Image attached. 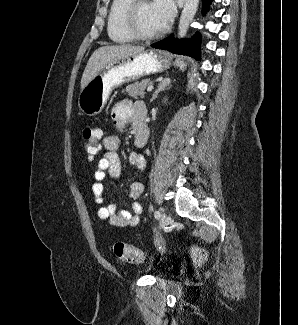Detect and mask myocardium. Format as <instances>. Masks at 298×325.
Segmentation results:
<instances>
[{
    "mask_svg": "<svg viewBox=\"0 0 298 325\" xmlns=\"http://www.w3.org/2000/svg\"><path fill=\"white\" fill-rule=\"evenodd\" d=\"M146 1L149 0H129L124 7L121 16V26L123 31L133 40L152 41L159 38L164 33V30H162L152 34H144L137 30L134 23L135 11L141 3Z\"/></svg>",
    "mask_w": 298,
    "mask_h": 325,
    "instance_id": "myocardium-1",
    "label": "myocardium"
}]
</instances>
